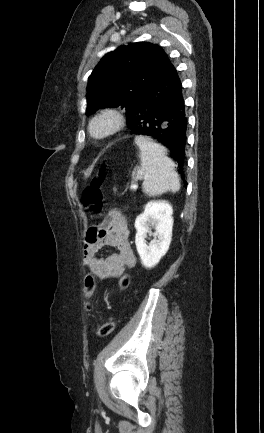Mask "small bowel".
Instances as JSON below:
<instances>
[{
	"instance_id": "c3829d8e",
	"label": "small bowel",
	"mask_w": 264,
	"mask_h": 433,
	"mask_svg": "<svg viewBox=\"0 0 264 433\" xmlns=\"http://www.w3.org/2000/svg\"><path fill=\"white\" fill-rule=\"evenodd\" d=\"M103 247H113L115 252L98 257ZM83 263L101 280L118 277L135 265L127 221L119 210L111 209L101 223L88 229L83 246Z\"/></svg>"
}]
</instances>
